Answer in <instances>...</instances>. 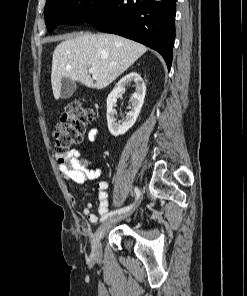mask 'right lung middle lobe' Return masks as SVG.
I'll return each mask as SVG.
<instances>
[{"label":"right lung middle lobe","instance_id":"dd1d6c3e","mask_svg":"<svg viewBox=\"0 0 247 296\" xmlns=\"http://www.w3.org/2000/svg\"><path fill=\"white\" fill-rule=\"evenodd\" d=\"M107 2L108 0H47L44 8L47 29L52 32L60 24L89 22L104 11Z\"/></svg>","mask_w":247,"mask_h":296}]
</instances>
